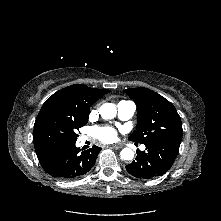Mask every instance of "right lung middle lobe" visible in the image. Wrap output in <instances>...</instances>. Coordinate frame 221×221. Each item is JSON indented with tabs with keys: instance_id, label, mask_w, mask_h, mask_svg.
Masks as SVG:
<instances>
[{
	"instance_id": "1",
	"label": "right lung middle lobe",
	"mask_w": 221,
	"mask_h": 221,
	"mask_svg": "<svg viewBox=\"0 0 221 221\" xmlns=\"http://www.w3.org/2000/svg\"><path fill=\"white\" fill-rule=\"evenodd\" d=\"M87 122L88 118L72 116L62 109H41L34 124L36 154L74 144L78 136L76 130Z\"/></svg>"
}]
</instances>
